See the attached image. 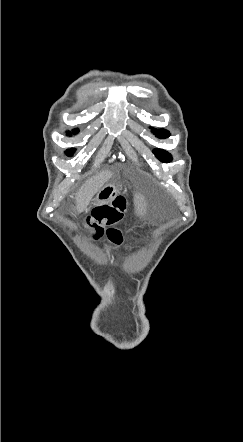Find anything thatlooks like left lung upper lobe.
Listing matches in <instances>:
<instances>
[{"label":"left lung upper lobe","mask_w":243,"mask_h":442,"mask_svg":"<svg viewBox=\"0 0 243 442\" xmlns=\"http://www.w3.org/2000/svg\"><path fill=\"white\" fill-rule=\"evenodd\" d=\"M153 132L158 138L161 139L169 137V132L164 129L153 130ZM153 153L162 162H170L172 160V157L169 155V153L164 150L154 149Z\"/></svg>","instance_id":"1"}]
</instances>
